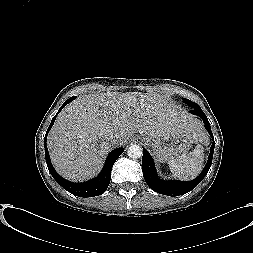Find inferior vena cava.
<instances>
[{
  "label": "inferior vena cava",
  "instance_id": "obj_1",
  "mask_svg": "<svg viewBox=\"0 0 253 253\" xmlns=\"http://www.w3.org/2000/svg\"><path fill=\"white\" fill-rule=\"evenodd\" d=\"M111 144L114 147H119L122 144V137L119 134H114L111 137Z\"/></svg>",
  "mask_w": 253,
  "mask_h": 253
}]
</instances>
